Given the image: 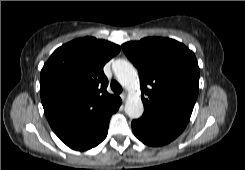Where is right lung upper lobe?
<instances>
[{
  "label": "right lung upper lobe",
  "mask_w": 245,
  "mask_h": 170,
  "mask_svg": "<svg viewBox=\"0 0 245 170\" xmlns=\"http://www.w3.org/2000/svg\"><path fill=\"white\" fill-rule=\"evenodd\" d=\"M120 52L114 43L85 37L54 51L40 76L48 122L69 147L88 137L121 101L106 91L103 66Z\"/></svg>",
  "instance_id": "1"
}]
</instances>
